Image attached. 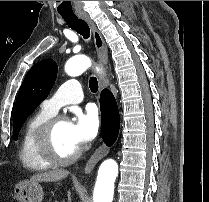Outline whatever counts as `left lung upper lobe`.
Returning a JSON list of instances; mask_svg holds the SVG:
<instances>
[{
	"instance_id": "1",
	"label": "left lung upper lobe",
	"mask_w": 209,
	"mask_h": 202,
	"mask_svg": "<svg viewBox=\"0 0 209 202\" xmlns=\"http://www.w3.org/2000/svg\"><path fill=\"white\" fill-rule=\"evenodd\" d=\"M57 71V63L52 59H45L35 64L26 74L14 108L13 137L15 140L25 120L47 98L55 83Z\"/></svg>"
}]
</instances>
